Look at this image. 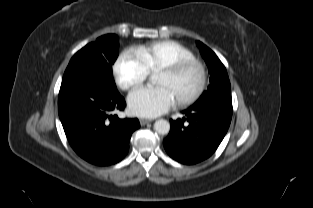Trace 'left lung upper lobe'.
Masks as SVG:
<instances>
[{
    "mask_svg": "<svg viewBox=\"0 0 313 208\" xmlns=\"http://www.w3.org/2000/svg\"><path fill=\"white\" fill-rule=\"evenodd\" d=\"M197 46L209 68L210 85L208 86L207 91L203 92L196 103H201L207 100L231 101V86L225 66L216 54L203 43L197 41Z\"/></svg>",
    "mask_w": 313,
    "mask_h": 208,
    "instance_id": "obj_1",
    "label": "left lung upper lobe"
}]
</instances>
